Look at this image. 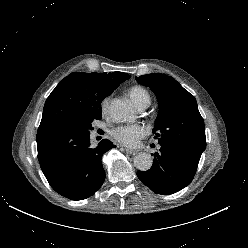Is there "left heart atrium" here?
I'll return each instance as SVG.
<instances>
[{
  "mask_svg": "<svg viewBox=\"0 0 248 248\" xmlns=\"http://www.w3.org/2000/svg\"><path fill=\"white\" fill-rule=\"evenodd\" d=\"M146 127L142 125H120L112 130V136L119 143L133 147L147 135Z\"/></svg>",
  "mask_w": 248,
  "mask_h": 248,
  "instance_id": "obj_1",
  "label": "left heart atrium"
}]
</instances>
